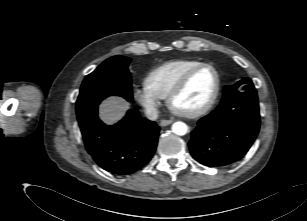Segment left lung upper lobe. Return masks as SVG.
I'll list each match as a JSON object with an SVG mask.
<instances>
[{"instance_id":"1","label":"left lung upper lobe","mask_w":307,"mask_h":221,"mask_svg":"<svg viewBox=\"0 0 307 221\" xmlns=\"http://www.w3.org/2000/svg\"><path fill=\"white\" fill-rule=\"evenodd\" d=\"M252 93H256V90L251 79L243 78L236 85L225 86L222 100Z\"/></svg>"}]
</instances>
